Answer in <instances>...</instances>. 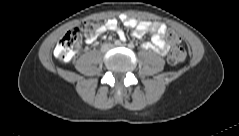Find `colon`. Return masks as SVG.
I'll return each instance as SVG.
<instances>
[{
  "mask_svg": "<svg viewBox=\"0 0 239 136\" xmlns=\"http://www.w3.org/2000/svg\"><path fill=\"white\" fill-rule=\"evenodd\" d=\"M100 30L99 23L95 20H88L81 26L68 31L58 42L55 48V55L62 61H69L80 45L81 35L87 38H95ZM168 40L173 44V49L169 54V63L176 65L185 59V49L180 45V36L173 30L167 32Z\"/></svg>",
  "mask_w": 239,
  "mask_h": 136,
  "instance_id": "5ec220e1",
  "label": "colon"
}]
</instances>
